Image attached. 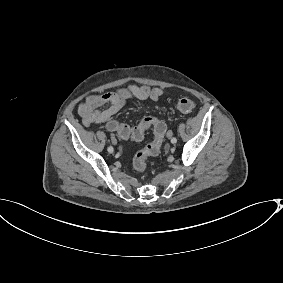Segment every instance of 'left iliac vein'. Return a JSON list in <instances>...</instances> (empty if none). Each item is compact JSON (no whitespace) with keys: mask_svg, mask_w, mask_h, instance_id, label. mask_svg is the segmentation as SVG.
<instances>
[{"mask_svg":"<svg viewBox=\"0 0 283 283\" xmlns=\"http://www.w3.org/2000/svg\"><path fill=\"white\" fill-rule=\"evenodd\" d=\"M172 135H173V132L169 130V131L167 132V137H168V138H171Z\"/></svg>","mask_w":283,"mask_h":283,"instance_id":"4c4485c4","label":"left iliac vein"}]
</instances>
